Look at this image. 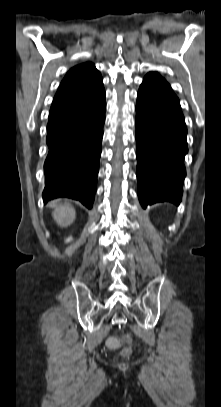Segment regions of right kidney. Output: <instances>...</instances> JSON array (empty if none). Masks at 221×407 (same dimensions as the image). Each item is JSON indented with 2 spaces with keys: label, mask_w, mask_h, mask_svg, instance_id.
Instances as JSON below:
<instances>
[{
  "label": "right kidney",
  "mask_w": 221,
  "mask_h": 407,
  "mask_svg": "<svg viewBox=\"0 0 221 407\" xmlns=\"http://www.w3.org/2000/svg\"><path fill=\"white\" fill-rule=\"evenodd\" d=\"M72 240V237H69L66 239V242H70Z\"/></svg>",
  "instance_id": "ca27d5eb"
}]
</instances>
